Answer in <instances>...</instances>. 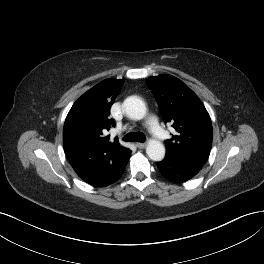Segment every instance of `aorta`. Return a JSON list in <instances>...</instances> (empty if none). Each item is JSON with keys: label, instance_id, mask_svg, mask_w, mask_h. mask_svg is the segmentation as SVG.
Returning <instances> with one entry per match:
<instances>
[{"label": "aorta", "instance_id": "762f6f07", "mask_svg": "<svg viewBox=\"0 0 264 264\" xmlns=\"http://www.w3.org/2000/svg\"><path fill=\"white\" fill-rule=\"evenodd\" d=\"M123 108L131 119L140 120L146 114L144 102L136 96L126 98L123 102ZM146 153L151 160L161 161L165 156V147L160 141L153 139L148 142Z\"/></svg>", "mask_w": 264, "mask_h": 264}]
</instances>
